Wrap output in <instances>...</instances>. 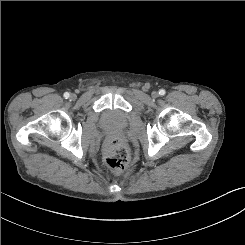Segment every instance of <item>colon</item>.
Masks as SVG:
<instances>
[{
	"label": "colon",
	"instance_id": "colon-1",
	"mask_svg": "<svg viewBox=\"0 0 245 245\" xmlns=\"http://www.w3.org/2000/svg\"><path fill=\"white\" fill-rule=\"evenodd\" d=\"M105 164L114 172H123L129 163V153L125 145L119 140L108 142L103 151Z\"/></svg>",
	"mask_w": 245,
	"mask_h": 245
}]
</instances>
